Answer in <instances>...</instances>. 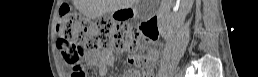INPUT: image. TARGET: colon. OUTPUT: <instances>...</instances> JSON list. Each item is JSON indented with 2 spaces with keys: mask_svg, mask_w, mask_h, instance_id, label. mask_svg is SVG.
Wrapping results in <instances>:
<instances>
[{
  "mask_svg": "<svg viewBox=\"0 0 258 77\" xmlns=\"http://www.w3.org/2000/svg\"><path fill=\"white\" fill-rule=\"evenodd\" d=\"M155 33V30L146 26L142 30L133 29L124 22L106 19L92 23L69 7H60L58 10V45L65 60L72 66L73 77H83L85 73V66L81 61L83 51L106 47L130 51L134 55L128 59L129 64L145 67L144 53ZM136 72L134 68L128 70L131 75Z\"/></svg>",
  "mask_w": 258,
  "mask_h": 77,
  "instance_id": "obj_1",
  "label": "colon"
}]
</instances>
